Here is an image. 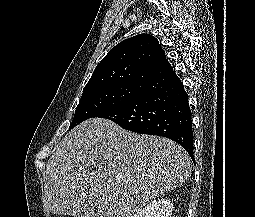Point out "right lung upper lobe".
Returning a JSON list of instances; mask_svg holds the SVG:
<instances>
[{
	"label": "right lung upper lobe",
	"mask_w": 255,
	"mask_h": 217,
	"mask_svg": "<svg viewBox=\"0 0 255 217\" xmlns=\"http://www.w3.org/2000/svg\"><path fill=\"white\" fill-rule=\"evenodd\" d=\"M173 72L158 40L139 34L113 47L96 66L83 91L114 84L147 86Z\"/></svg>",
	"instance_id": "cb5924a9"
}]
</instances>
